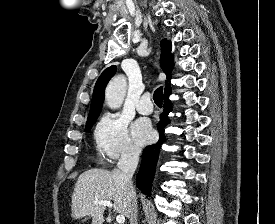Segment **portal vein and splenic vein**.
<instances>
[{"label": "portal vein and splenic vein", "mask_w": 275, "mask_h": 224, "mask_svg": "<svg viewBox=\"0 0 275 224\" xmlns=\"http://www.w3.org/2000/svg\"><path fill=\"white\" fill-rule=\"evenodd\" d=\"M96 204L108 207V208H113V204L108 201V200H101V201H95ZM116 221L118 224H124L125 223V216L124 215H118L116 217Z\"/></svg>", "instance_id": "portal-vein-and-splenic-vein-1"}]
</instances>
